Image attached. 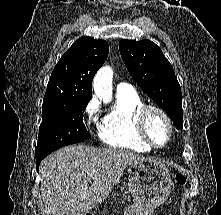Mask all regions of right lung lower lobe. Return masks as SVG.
I'll use <instances>...</instances> for the list:
<instances>
[{
	"instance_id": "right-lung-lower-lobe-1",
	"label": "right lung lower lobe",
	"mask_w": 221,
	"mask_h": 215,
	"mask_svg": "<svg viewBox=\"0 0 221 215\" xmlns=\"http://www.w3.org/2000/svg\"><path fill=\"white\" fill-rule=\"evenodd\" d=\"M46 156H41V157H36V169L38 170L39 168V164L41 163V161L45 158Z\"/></svg>"
}]
</instances>
